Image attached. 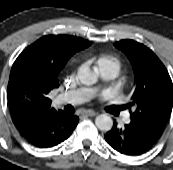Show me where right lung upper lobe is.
I'll use <instances>...</instances> for the list:
<instances>
[{"label": "right lung upper lobe", "instance_id": "obj_1", "mask_svg": "<svg viewBox=\"0 0 173 170\" xmlns=\"http://www.w3.org/2000/svg\"><path fill=\"white\" fill-rule=\"evenodd\" d=\"M89 45V41L79 37L46 35L18 56L11 68L7 88L15 126L57 112L51 107L48 94L59 86L58 75L68 59Z\"/></svg>", "mask_w": 173, "mask_h": 170}]
</instances>
